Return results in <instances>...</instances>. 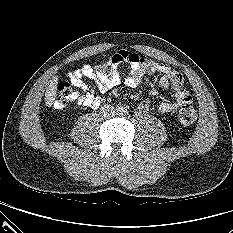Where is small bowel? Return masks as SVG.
I'll return each mask as SVG.
<instances>
[{
  "mask_svg": "<svg viewBox=\"0 0 233 233\" xmlns=\"http://www.w3.org/2000/svg\"><path fill=\"white\" fill-rule=\"evenodd\" d=\"M106 64L112 66V73L108 74L102 68L104 65H99L93 68L90 65H83L81 68L69 73L68 77L71 84L79 90L77 103L86 107L97 109L101 105V97L84 82V78H89L95 81L98 90L101 93H106L109 90L119 86L122 82L130 88H136L140 85L143 76L146 73H159V85L163 89L172 88L174 91V102H161L159 111L168 113L174 111L186 104L192 103L190 93L184 88V82L181 74L173 70L165 63L155 61L154 59L138 55L137 53L127 50H120L113 54ZM121 64H128L129 71L124 79L118 73ZM150 103L145 101L141 103V109L149 108Z\"/></svg>",
  "mask_w": 233,
  "mask_h": 233,
  "instance_id": "c3829d8e",
  "label": "small bowel"
}]
</instances>
